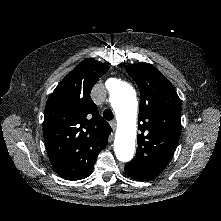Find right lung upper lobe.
<instances>
[{
	"instance_id": "cb5924a9",
	"label": "right lung upper lobe",
	"mask_w": 221,
	"mask_h": 221,
	"mask_svg": "<svg viewBox=\"0 0 221 221\" xmlns=\"http://www.w3.org/2000/svg\"><path fill=\"white\" fill-rule=\"evenodd\" d=\"M108 70L107 64L84 59L58 84L46 103L45 145L54 170L64 179L88 177L107 145L111 127L101 118L90 92Z\"/></svg>"
}]
</instances>
